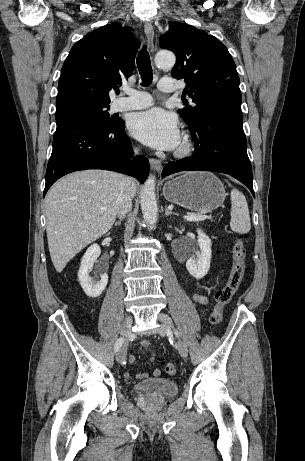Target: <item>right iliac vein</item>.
Wrapping results in <instances>:
<instances>
[{
    "label": "right iliac vein",
    "mask_w": 305,
    "mask_h": 461,
    "mask_svg": "<svg viewBox=\"0 0 305 461\" xmlns=\"http://www.w3.org/2000/svg\"><path fill=\"white\" fill-rule=\"evenodd\" d=\"M132 323H133V319L130 315L124 319L122 327H121V336L123 338H128L130 336ZM126 355H127L126 345H123L117 352V355H116L117 361L119 363H123L126 359Z\"/></svg>",
    "instance_id": "right-iliac-vein-1"
}]
</instances>
